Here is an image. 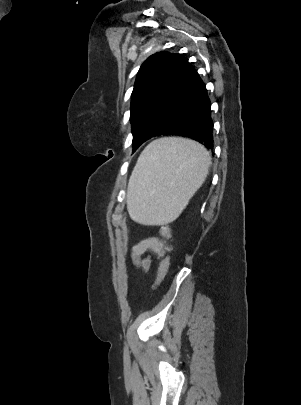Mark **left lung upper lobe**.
<instances>
[{
	"label": "left lung upper lobe",
	"instance_id": "left-lung-upper-lobe-1",
	"mask_svg": "<svg viewBox=\"0 0 301 405\" xmlns=\"http://www.w3.org/2000/svg\"><path fill=\"white\" fill-rule=\"evenodd\" d=\"M193 67L180 54L159 52L140 67L131 96L133 143L158 129L182 95Z\"/></svg>",
	"mask_w": 301,
	"mask_h": 405
}]
</instances>
